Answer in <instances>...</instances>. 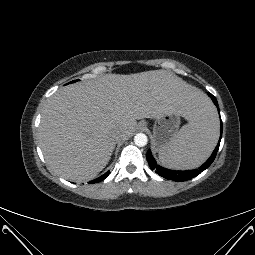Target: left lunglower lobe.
<instances>
[{
    "instance_id": "0a47b994",
    "label": "left lung lower lobe",
    "mask_w": 255,
    "mask_h": 255,
    "mask_svg": "<svg viewBox=\"0 0 255 255\" xmlns=\"http://www.w3.org/2000/svg\"><path fill=\"white\" fill-rule=\"evenodd\" d=\"M208 95L211 97V99L213 100L214 104L216 106H218L217 100L216 98L208 93ZM221 136H222V122H221ZM221 136L219 139V142L216 146V148L214 149L212 155L210 156V158L198 169H194V170H189V171H174V170H169V169H165L161 166H159L154 157L152 156L151 152L148 151L147 152V161L149 163V166L152 170H154L158 175L166 178V179H171L174 181H186L189 180L191 178L196 177L197 175H199L201 172H203L205 169H207L211 163L214 161L217 151L219 149V145H220V141H221Z\"/></svg>"
}]
</instances>
